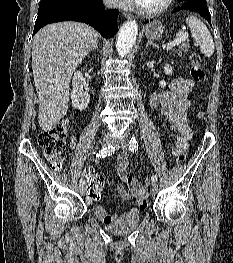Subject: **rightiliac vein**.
I'll use <instances>...</instances> for the list:
<instances>
[{
    "instance_id": "63e3f726",
    "label": "right iliac vein",
    "mask_w": 233,
    "mask_h": 263,
    "mask_svg": "<svg viewBox=\"0 0 233 263\" xmlns=\"http://www.w3.org/2000/svg\"><path fill=\"white\" fill-rule=\"evenodd\" d=\"M103 146H111L114 143V139L111 136H105L101 141ZM79 192L81 195H84L86 192V188L84 185H80Z\"/></svg>"
}]
</instances>
